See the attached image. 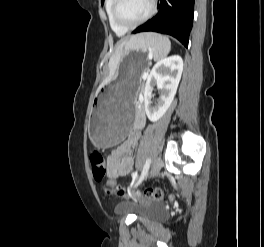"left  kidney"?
Listing matches in <instances>:
<instances>
[{
  "label": "left kidney",
  "instance_id": "left-kidney-1",
  "mask_svg": "<svg viewBox=\"0 0 264 247\" xmlns=\"http://www.w3.org/2000/svg\"><path fill=\"white\" fill-rule=\"evenodd\" d=\"M183 71V60L178 55L159 60L147 77L144 88V106L148 119L158 121L170 107L179 85ZM157 85L161 94L155 106L151 97L153 87Z\"/></svg>",
  "mask_w": 264,
  "mask_h": 247
}]
</instances>
